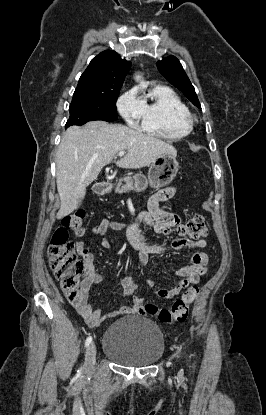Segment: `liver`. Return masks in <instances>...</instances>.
<instances>
[{"label": "liver", "instance_id": "6515ba94", "mask_svg": "<svg viewBox=\"0 0 266 415\" xmlns=\"http://www.w3.org/2000/svg\"><path fill=\"white\" fill-rule=\"evenodd\" d=\"M120 151H127V154L117 161V166L131 169L149 166L166 153L177 155L172 145L120 124L91 121L82 128H68L56 159V183L61 202L57 219L80 206L86 188Z\"/></svg>", "mask_w": 266, "mask_h": 415}]
</instances>
